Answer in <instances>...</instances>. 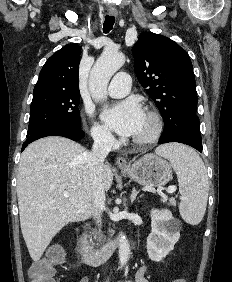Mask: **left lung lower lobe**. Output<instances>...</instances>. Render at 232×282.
Segmentation results:
<instances>
[{
  "instance_id": "1",
  "label": "left lung lower lobe",
  "mask_w": 232,
  "mask_h": 282,
  "mask_svg": "<svg viewBox=\"0 0 232 282\" xmlns=\"http://www.w3.org/2000/svg\"><path fill=\"white\" fill-rule=\"evenodd\" d=\"M165 123V129L159 140V144L179 142L190 145L202 152L200 124L197 115L180 112L174 122Z\"/></svg>"
}]
</instances>
